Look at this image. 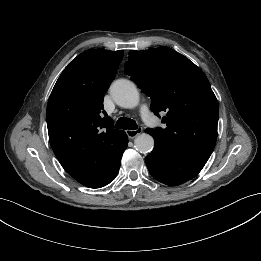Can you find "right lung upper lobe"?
<instances>
[{
  "instance_id": "cb5924a9",
  "label": "right lung upper lobe",
  "mask_w": 261,
  "mask_h": 261,
  "mask_svg": "<svg viewBox=\"0 0 261 261\" xmlns=\"http://www.w3.org/2000/svg\"><path fill=\"white\" fill-rule=\"evenodd\" d=\"M122 58V50L81 53L61 73L48 101L51 147L65 171L85 186L108 172L128 139L103 110Z\"/></svg>"
}]
</instances>
